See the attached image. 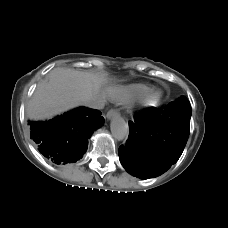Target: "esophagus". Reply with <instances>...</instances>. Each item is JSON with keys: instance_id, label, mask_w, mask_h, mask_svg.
Returning <instances> with one entry per match:
<instances>
[{"instance_id": "1", "label": "esophagus", "mask_w": 228, "mask_h": 228, "mask_svg": "<svg viewBox=\"0 0 228 228\" xmlns=\"http://www.w3.org/2000/svg\"><path fill=\"white\" fill-rule=\"evenodd\" d=\"M118 116H119V112H118L117 110H115V109L109 110V111L107 112V114H106V118H107L108 120H111V119H113V118H117Z\"/></svg>"}]
</instances>
